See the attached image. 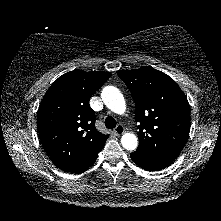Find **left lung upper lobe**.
<instances>
[{
	"mask_svg": "<svg viewBox=\"0 0 221 221\" xmlns=\"http://www.w3.org/2000/svg\"><path fill=\"white\" fill-rule=\"evenodd\" d=\"M135 101L139 147L135 153L173 161L190 132V106L177 83L150 67L119 70Z\"/></svg>",
	"mask_w": 221,
	"mask_h": 221,
	"instance_id": "left-lung-upper-lobe-1",
	"label": "left lung upper lobe"
}]
</instances>
